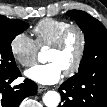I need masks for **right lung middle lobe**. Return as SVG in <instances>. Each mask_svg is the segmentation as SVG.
<instances>
[{
  "instance_id": "right-lung-middle-lobe-1",
  "label": "right lung middle lobe",
  "mask_w": 107,
  "mask_h": 107,
  "mask_svg": "<svg viewBox=\"0 0 107 107\" xmlns=\"http://www.w3.org/2000/svg\"><path fill=\"white\" fill-rule=\"evenodd\" d=\"M28 26L26 22L0 16V76L11 74L18 69L13 57L11 42Z\"/></svg>"
}]
</instances>
